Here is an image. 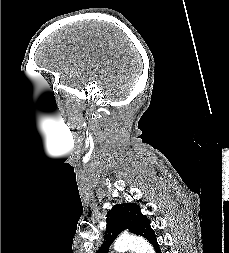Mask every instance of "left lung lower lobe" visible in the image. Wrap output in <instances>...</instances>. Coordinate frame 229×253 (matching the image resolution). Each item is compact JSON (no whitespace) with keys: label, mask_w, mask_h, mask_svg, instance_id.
Wrapping results in <instances>:
<instances>
[{"label":"left lung lower lobe","mask_w":229,"mask_h":253,"mask_svg":"<svg viewBox=\"0 0 229 253\" xmlns=\"http://www.w3.org/2000/svg\"><path fill=\"white\" fill-rule=\"evenodd\" d=\"M152 245H153V247H154L156 253H161L160 248H159V244L157 243V240L154 241V242L152 243Z\"/></svg>","instance_id":"1"}]
</instances>
